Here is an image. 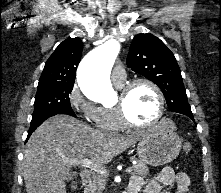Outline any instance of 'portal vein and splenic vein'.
Segmentation results:
<instances>
[{"label":"portal vein and splenic vein","instance_id":"1","mask_svg":"<svg viewBox=\"0 0 221 193\" xmlns=\"http://www.w3.org/2000/svg\"><path fill=\"white\" fill-rule=\"evenodd\" d=\"M66 163L71 164V165H79L82 167H86V168H90L102 175L107 174V171L105 169V167H103L101 164L94 162L92 160H89L88 158H83L80 160H65ZM126 172L130 173L132 172V167H128L126 168Z\"/></svg>","mask_w":221,"mask_h":193}]
</instances>
